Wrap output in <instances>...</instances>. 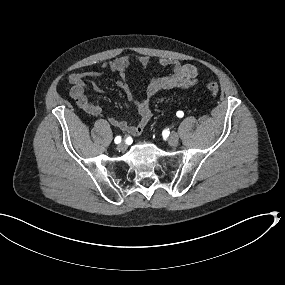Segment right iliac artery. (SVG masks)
<instances>
[{"mask_svg": "<svg viewBox=\"0 0 285 285\" xmlns=\"http://www.w3.org/2000/svg\"><path fill=\"white\" fill-rule=\"evenodd\" d=\"M114 142H115L116 144L120 143V142H121V137H120V136H117V137L115 138Z\"/></svg>", "mask_w": 285, "mask_h": 285, "instance_id": "1", "label": "right iliac artery"}]
</instances>
